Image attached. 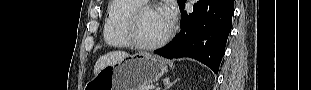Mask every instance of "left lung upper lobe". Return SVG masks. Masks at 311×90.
<instances>
[{"label":"left lung upper lobe","instance_id":"left-lung-upper-lobe-1","mask_svg":"<svg viewBox=\"0 0 311 90\" xmlns=\"http://www.w3.org/2000/svg\"><path fill=\"white\" fill-rule=\"evenodd\" d=\"M185 1L186 0H177L179 7H181L185 3Z\"/></svg>","mask_w":311,"mask_h":90}]
</instances>
